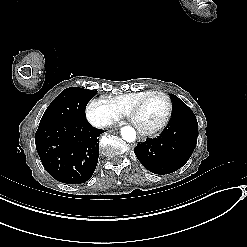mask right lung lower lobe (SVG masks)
I'll use <instances>...</instances> for the list:
<instances>
[{"instance_id": "98d812e1", "label": "right lung lower lobe", "mask_w": 247, "mask_h": 247, "mask_svg": "<svg viewBox=\"0 0 247 247\" xmlns=\"http://www.w3.org/2000/svg\"><path fill=\"white\" fill-rule=\"evenodd\" d=\"M102 132L87 120L39 125L35 134L36 150L45 170L63 183L89 180L98 162V137Z\"/></svg>"}]
</instances>
